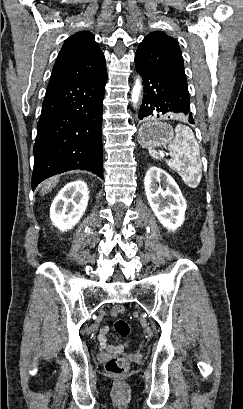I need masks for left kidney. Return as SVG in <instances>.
<instances>
[{
	"label": "left kidney",
	"mask_w": 243,
	"mask_h": 409,
	"mask_svg": "<svg viewBox=\"0 0 243 409\" xmlns=\"http://www.w3.org/2000/svg\"><path fill=\"white\" fill-rule=\"evenodd\" d=\"M144 187L159 222L168 230L179 228L185 220L187 204L175 180L164 170L151 167L145 175Z\"/></svg>",
	"instance_id": "5707ae66"
}]
</instances>
